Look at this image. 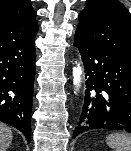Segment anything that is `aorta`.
I'll return each instance as SVG.
<instances>
[{"instance_id":"1","label":"aorta","mask_w":131,"mask_h":151,"mask_svg":"<svg viewBox=\"0 0 131 151\" xmlns=\"http://www.w3.org/2000/svg\"><path fill=\"white\" fill-rule=\"evenodd\" d=\"M72 73H73V84L76 90H78L81 86V75H82L80 64H77L76 67H73Z\"/></svg>"}]
</instances>
